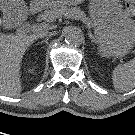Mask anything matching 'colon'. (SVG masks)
<instances>
[{
	"mask_svg": "<svg viewBox=\"0 0 135 135\" xmlns=\"http://www.w3.org/2000/svg\"><path fill=\"white\" fill-rule=\"evenodd\" d=\"M125 10L130 16H135V0H125Z\"/></svg>",
	"mask_w": 135,
	"mask_h": 135,
	"instance_id": "colon-1",
	"label": "colon"
}]
</instances>
